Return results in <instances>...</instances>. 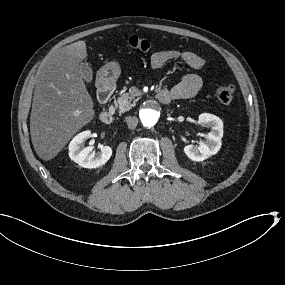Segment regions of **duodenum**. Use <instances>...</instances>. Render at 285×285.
<instances>
[{"instance_id": "obj_1", "label": "duodenum", "mask_w": 285, "mask_h": 285, "mask_svg": "<svg viewBox=\"0 0 285 285\" xmlns=\"http://www.w3.org/2000/svg\"><path fill=\"white\" fill-rule=\"evenodd\" d=\"M113 89H114V86L110 81L103 80L99 83L98 99L101 104L107 105L111 97V94L113 92ZM158 98L163 103H168L173 99L172 94L168 90H165V89L160 90L158 92ZM113 115H114V111L111 107H104L99 114V118L103 123L109 124L113 120Z\"/></svg>"}]
</instances>
